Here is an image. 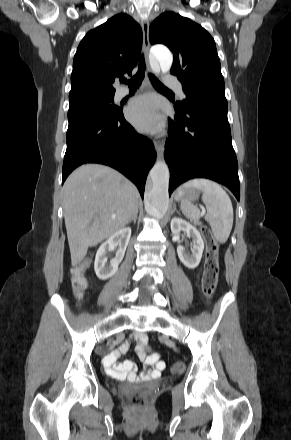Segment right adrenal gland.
Masks as SVG:
<instances>
[{"mask_svg":"<svg viewBox=\"0 0 291 440\" xmlns=\"http://www.w3.org/2000/svg\"><path fill=\"white\" fill-rule=\"evenodd\" d=\"M136 220H137V214L134 216V218H133L130 222L133 221L134 223H136ZM130 222H129V223H130Z\"/></svg>","mask_w":291,"mask_h":440,"instance_id":"1","label":"right adrenal gland"}]
</instances>
